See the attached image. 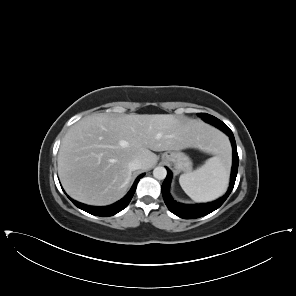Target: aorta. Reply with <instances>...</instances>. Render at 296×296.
Here are the masks:
<instances>
[{"label": "aorta", "instance_id": "1", "mask_svg": "<svg viewBox=\"0 0 296 296\" xmlns=\"http://www.w3.org/2000/svg\"><path fill=\"white\" fill-rule=\"evenodd\" d=\"M166 175H167V170L164 167L159 166L153 170V176L158 180L165 179Z\"/></svg>", "mask_w": 296, "mask_h": 296}]
</instances>
